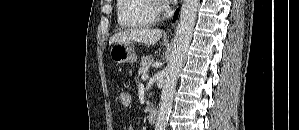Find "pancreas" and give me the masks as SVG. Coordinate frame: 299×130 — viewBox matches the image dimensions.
Segmentation results:
<instances>
[{"instance_id": "pancreas-1", "label": "pancreas", "mask_w": 299, "mask_h": 130, "mask_svg": "<svg viewBox=\"0 0 299 130\" xmlns=\"http://www.w3.org/2000/svg\"><path fill=\"white\" fill-rule=\"evenodd\" d=\"M152 62H153L152 56L150 55L142 56L140 70H139L140 73L145 74L149 70Z\"/></svg>"}]
</instances>
